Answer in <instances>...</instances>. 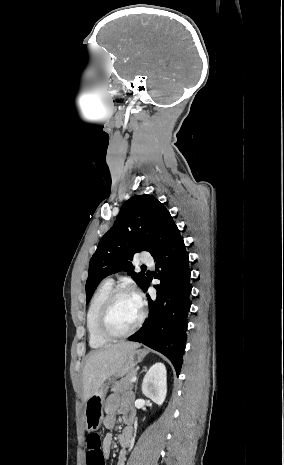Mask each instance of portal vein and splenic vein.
<instances>
[{"instance_id":"1","label":"portal vein and splenic vein","mask_w":284,"mask_h":465,"mask_svg":"<svg viewBox=\"0 0 284 465\" xmlns=\"http://www.w3.org/2000/svg\"><path fill=\"white\" fill-rule=\"evenodd\" d=\"M132 383H135L136 381V377H133V379H131Z\"/></svg>"}]
</instances>
